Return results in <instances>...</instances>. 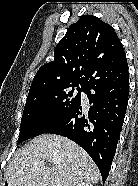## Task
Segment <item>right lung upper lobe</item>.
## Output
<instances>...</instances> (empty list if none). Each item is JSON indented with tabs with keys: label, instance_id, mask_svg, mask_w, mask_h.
<instances>
[{
	"label": "right lung upper lobe",
	"instance_id": "right-lung-upper-lobe-1",
	"mask_svg": "<svg viewBox=\"0 0 138 186\" xmlns=\"http://www.w3.org/2000/svg\"><path fill=\"white\" fill-rule=\"evenodd\" d=\"M128 78L125 52L114 29L96 16L83 15L57 44L54 61L37 71L29 93L75 84H114Z\"/></svg>",
	"mask_w": 138,
	"mask_h": 186
}]
</instances>
